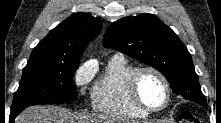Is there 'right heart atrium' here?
<instances>
[{"mask_svg":"<svg viewBox=\"0 0 221 123\" xmlns=\"http://www.w3.org/2000/svg\"><path fill=\"white\" fill-rule=\"evenodd\" d=\"M93 72L88 66H80L74 75V81L79 86L86 85L92 78Z\"/></svg>","mask_w":221,"mask_h":123,"instance_id":"d8ad5b80","label":"right heart atrium"}]
</instances>
